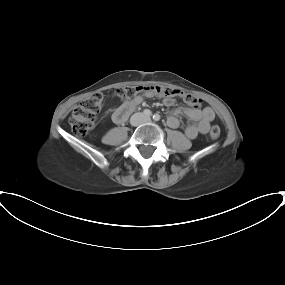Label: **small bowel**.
<instances>
[{
	"label": "small bowel",
	"mask_w": 285,
	"mask_h": 285,
	"mask_svg": "<svg viewBox=\"0 0 285 285\" xmlns=\"http://www.w3.org/2000/svg\"><path fill=\"white\" fill-rule=\"evenodd\" d=\"M142 101H143V96L137 95V96L133 97L132 99H130L129 101L125 102L124 104L130 103L131 105L136 107V106L140 105L142 103ZM163 102L166 106H173L175 103V99L172 97H167L163 100ZM179 115H185L193 121V123H190L185 128V135L189 139H194L199 134L206 133L209 130L210 123L215 118V113L210 107H204V108L181 107V108H176L168 115V118H167V123L171 128H178L179 127V125H180V122L178 119ZM113 119H114V115H113Z\"/></svg>",
	"instance_id": "c3829d8e"
}]
</instances>
